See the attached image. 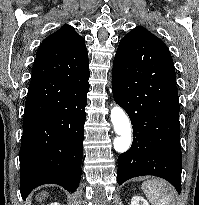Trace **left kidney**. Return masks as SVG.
Returning <instances> with one entry per match:
<instances>
[{"label": "left kidney", "mask_w": 199, "mask_h": 205, "mask_svg": "<svg viewBox=\"0 0 199 205\" xmlns=\"http://www.w3.org/2000/svg\"><path fill=\"white\" fill-rule=\"evenodd\" d=\"M131 205H149V203L141 196H133Z\"/></svg>", "instance_id": "obj_1"}]
</instances>
